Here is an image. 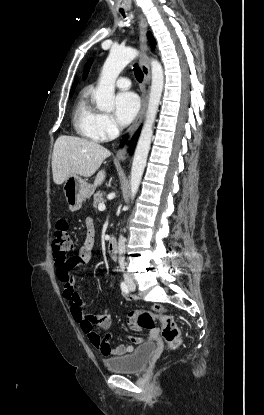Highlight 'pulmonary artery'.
I'll return each instance as SVG.
<instances>
[{"mask_svg": "<svg viewBox=\"0 0 264 415\" xmlns=\"http://www.w3.org/2000/svg\"><path fill=\"white\" fill-rule=\"evenodd\" d=\"M115 85L119 89L127 90L131 87V81L126 77H120L116 80Z\"/></svg>", "mask_w": 264, "mask_h": 415, "instance_id": "1", "label": "pulmonary artery"}]
</instances>
